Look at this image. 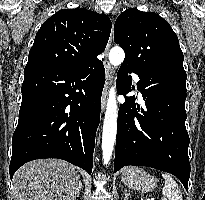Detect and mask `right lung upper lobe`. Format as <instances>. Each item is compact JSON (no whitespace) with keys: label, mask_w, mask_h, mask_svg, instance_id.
Segmentation results:
<instances>
[{"label":"right lung upper lobe","mask_w":205,"mask_h":200,"mask_svg":"<svg viewBox=\"0 0 205 200\" xmlns=\"http://www.w3.org/2000/svg\"><path fill=\"white\" fill-rule=\"evenodd\" d=\"M111 21L85 8L60 10L38 30L25 68H80L99 61Z\"/></svg>","instance_id":"right-lung-upper-lobe-1"}]
</instances>
